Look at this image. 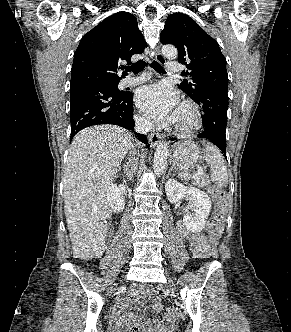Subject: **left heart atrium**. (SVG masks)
Wrapping results in <instances>:
<instances>
[{
    "label": "left heart atrium",
    "instance_id": "obj_1",
    "mask_svg": "<svg viewBox=\"0 0 291 332\" xmlns=\"http://www.w3.org/2000/svg\"><path fill=\"white\" fill-rule=\"evenodd\" d=\"M136 103L144 114L152 120L176 121L178 95L167 84L156 83L142 87L137 92Z\"/></svg>",
    "mask_w": 291,
    "mask_h": 332
}]
</instances>
